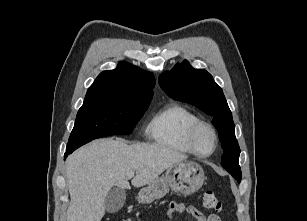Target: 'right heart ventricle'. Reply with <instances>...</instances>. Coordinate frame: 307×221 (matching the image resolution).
Masks as SVG:
<instances>
[{"mask_svg": "<svg viewBox=\"0 0 307 221\" xmlns=\"http://www.w3.org/2000/svg\"><path fill=\"white\" fill-rule=\"evenodd\" d=\"M197 115L180 104H168L157 111L146 127V134L156 144L179 153H191L185 143L189 126Z\"/></svg>", "mask_w": 307, "mask_h": 221, "instance_id": "right-heart-ventricle-1", "label": "right heart ventricle"}]
</instances>
